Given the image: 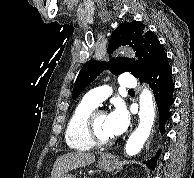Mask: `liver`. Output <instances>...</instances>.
<instances>
[{"label": "liver", "instance_id": "6515ba94", "mask_svg": "<svg viewBox=\"0 0 194 178\" xmlns=\"http://www.w3.org/2000/svg\"><path fill=\"white\" fill-rule=\"evenodd\" d=\"M95 161V155L81 151L70 152L57 158L53 165L51 178H59L61 175Z\"/></svg>", "mask_w": 194, "mask_h": 178}]
</instances>
